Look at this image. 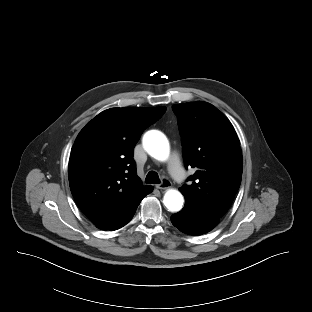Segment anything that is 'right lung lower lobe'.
<instances>
[{"label":"right lung lower lobe","instance_id":"right-lung-lower-lobe-1","mask_svg":"<svg viewBox=\"0 0 312 312\" xmlns=\"http://www.w3.org/2000/svg\"><path fill=\"white\" fill-rule=\"evenodd\" d=\"M151 191H152V187H150V188L145 192L143 198H144L147 194H149ZM143 198H142V199H143ZM139 204H140V203H139ZM137 207H138V206H137ZM137 207H136L135 210L130 214V216H129L118 228H116L115 230H117V229L121 228L122 226L126 225V224L132 219V217H133V215H134V213H135Z\"/></svg>","mask_w":312,"mask_h":312}]
</instances>
